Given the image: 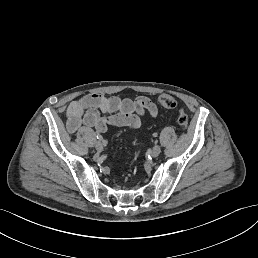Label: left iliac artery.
Listing matches in <instances>:
<instances>
[{
    "instance_id": "obj_1",
    "label": "left iliac artery",
    "mask_w": 258,
    "mask_h": 258,
    "mask_svg": "<svg viewBox=\"0 0 258 258\" xmlns=\"http://www.w3.org/2000/svg\"><path fill=\"white\" fill-rule=\"evenodd\" d=\"M158 136V133H153V137H157Z\"/></svg>"
}]
</instances>
